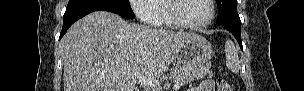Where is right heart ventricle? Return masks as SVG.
<instances>
[{
	"label": "right heart ventricle",
	"mask_w": 304,
	"mask_h": 91,
	"mask_svg": "<svg viewBox=\"0 0 304 91\" xmlns=\"http://www.w3.org/2000/svg\"><path fill=\"white\" fill-rule=\"evenodd\" d=\"M170 0H160L157 2L155 9L157 11L159 21L154 25H163L166 27H175L176 25L170 20L168 15V5Z\"/></svg>",
	"instance_id": "e07e8e85"
}]
</instances>
